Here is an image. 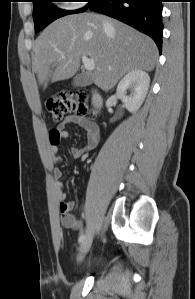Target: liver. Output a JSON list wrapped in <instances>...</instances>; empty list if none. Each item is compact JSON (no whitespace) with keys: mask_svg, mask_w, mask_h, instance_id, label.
Returning <instances> with one entry per match:
<instances>
[{"mask_svg":"<svg viewBox=\"0 0 195 299\" xmlns=\"http://www.w3.org/2000/svg\"><path fill=\"white\" fill-rule=\"evenodd\" d=\"M109 23L104 28L103 22ZM32 71L39 85L73 77L80 67V56L95 62L94 83L111 89L132 70L151 71L158 57L154 41L132 27L94 13L68 15L51 23L33 45ZM64 55V57H62Z\"/></svg>","mask_w":195,"mask_h":299,"instance_id":"liver-1","label":"liver"}]
</instances>
